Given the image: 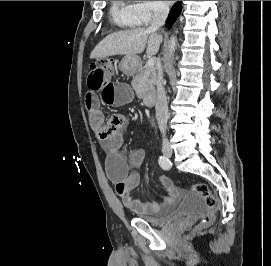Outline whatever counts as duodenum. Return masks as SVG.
I'll use <instances>...</instances> for the list:
<instances>
[{
  "instance_id": "1",
  "label": "duodenum",
  "mask_w": 271,
  "mask_h": 266,
  "mask_svg": "<svg viewBox=\"0 0 271 266\" xmlns=\"http://www.w3.org/2000/svg\"><path fill=\"white\" fill-rule=\"evenodd\" d=\"M144 99V102L147 104V105H152L155 103V100H156V94L154 92H151V93H147L144 95L143 97Z\"/></svg>"
}]
</instances>
